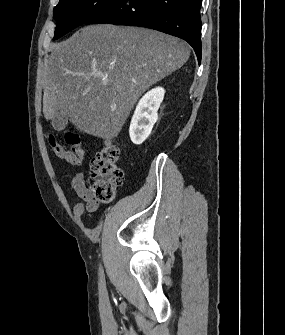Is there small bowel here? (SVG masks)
I'll list each match as a JSON object with an SVG mask.
<instances>
[{
	"label": "small bowel",
	"instance_id": "1",
	"mask_svg": "<svg viewBox=\"0 0 285 335\" xmlns=\"http://www.w3.org/2000/svg\"><path fill=\"white\" fill-rule=\"evenodd\" d=\"M71 188L83 202L73 208L76 219L80 220L85 213H93L99 209V201L93 198L91 190L87 187L83 174H76L71 181Z\"/></svg>",
	"mask_w": 285,
	"mask_h": 335
}]
</instances>
